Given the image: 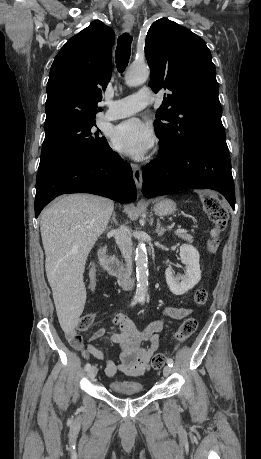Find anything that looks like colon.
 <instances>
[{
	"instance_id": "obj_1",
	"label": "colon",
	"mask_w": 261,
	"mask_h": 459,
	"mask_svg": "<svg viewBox=\"0 0 261 459\" xmlns=\"http://www.w3.org/2000/svg\"><path fill=\"white\" fill-rule=\"evenodd\" d=\"M203 207L212 223L215 231V236L208 241V248L211 252L215 251L218 246L217 236L226 228L229 220V212L219 197L213 192H203L201 194ZM208 291L205 287L198 288L194 293V302L198 306H202L207 302ZM94 322V314L86 313L82 315L76 324L78 331L88 330ZM198 322L195 318H187L180 325L174 334L170 351L160 352L152 357L151 365L154 369H160L168 355L177 349L179 345L188 339L197 329Z\"/></svg>"
}]
</instances>
